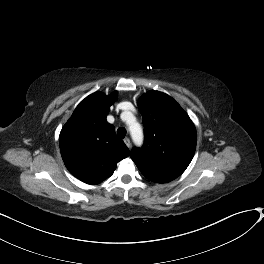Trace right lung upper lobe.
I'll return each mask as SVG.
<instances>
[{
  "mask_svg": "<svg viewBox=\"0 0 264 264\" xmlns=\"http://www.w3.org/2000/svg\"><path fill=\"white\" fill-rule=\"evenodd\" d=\"M118 92L106 96L95 92L86 97L63 126L59 145L69 172L87 184H98L112 175L129 149L106 121Z\"/></svg>",
  "mask_w": 264,
  "mask_h": 264,
  "instance_id": "obj_1",
  "label": "right lung upper lobe"
}]
</instances>
